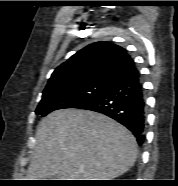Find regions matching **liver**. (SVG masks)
Instances as JSON below:
<instances>
[{
	"label": "liver",
	"instance_id": "liver-1",
	"mask_svg": "<svg viewBox=\"0 0 178 186\" xmlns=\"http://www.w3.org/2000/svg\"><path fill=\"white\" fill-rule=\"evenodd\" d=\"M35 139L28 180H112L134 165L138 152L127 128L88 110L51 112L39 122Z\"/></svg>",
	"mask_w": 178,
	"mask_h": 186
}]
</instances>
